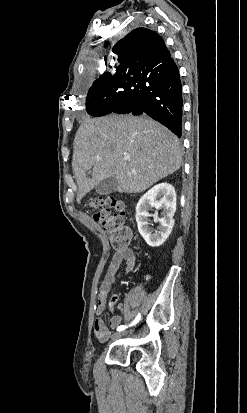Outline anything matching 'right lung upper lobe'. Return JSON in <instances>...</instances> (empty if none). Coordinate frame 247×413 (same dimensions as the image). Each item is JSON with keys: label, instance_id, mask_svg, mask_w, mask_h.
Instances as JSON below:
<instances>
[{"label": "right lung upper lobe", "instance_id": "cb5924a9", "mask_svg": "<svg viewBox=\"0 0 247 413\" xmlns=\"http://www.w3.org/2000/svg\"><path fill=\"white\" fill-rule=\"evenodd\" d=\"M112 51L117 61L115 74L105 72L97 80L122 81L130 75L157 72L172 60L163 39L146 28L131 31L116 43Z\"/></svg>", "mask_w": 247, "mask_h": 413}]
</instances>
